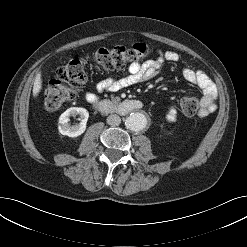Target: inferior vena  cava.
<instances>
[{
  "label": "inferior vena cava",
  "instance_id": "inferior-vena-cava-1",
  "mask_svg": "<svg viewBox=\"0 0 247 247\" xmlns=\"http://www.w3.org/2000/svg\"><path fill=\"white\" fill-rule=\"evenodd\" d=\"M107 123L111 126H118L121 123V118L116 114H111L107 117Z\"/></svg>",
  "mask_w": 247,
  "mask_h": 247
}]
</instances>
